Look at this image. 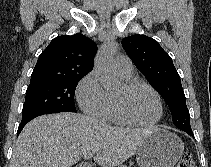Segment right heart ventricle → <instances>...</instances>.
<instances>
[{"mask_svg": "<svg viewBox=\"0 0 211 167\" xmlns=\"http://www.w3.org/2000/svg\"><path fill=\"white\" fill-rule=\"evenodd\" d=\"M124 79L126 80H130L132 78V75H128V76H125V75H121ZM109 100H110V107H109V110H108V113L106 115V118L105 120L111 122V123H114V124H117V125H128L126 124L125 122H123L118 116L117 114L115 113L114 111V107H113V103H112V98L109 97Z\"/></svg>", "mask_w": 211, "mask_h": 167, "instance_id": "right-heart-ventricle-1", "label": "right heart ventricle"}]
</instances>
